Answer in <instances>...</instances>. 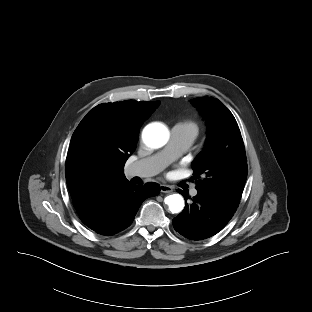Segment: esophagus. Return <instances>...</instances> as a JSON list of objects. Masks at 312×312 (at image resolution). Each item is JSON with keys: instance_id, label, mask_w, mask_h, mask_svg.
<instances>
[{"instance_id": "esophagus-1", "label": "esophagus", "mask_w": 312, "mask_h": 312, "mask_svg": "<svg viewBox=\"0 0 312 312\" xmlns=\"http://www.w3.org/2000/svg\"><path fill=\"white\" fill-rule=\"evenodd\" d=\"M160 191L162 193H171L173 191V188L169 185H164V184H161L160 185Z\"/></svg>"}]
</instances>
